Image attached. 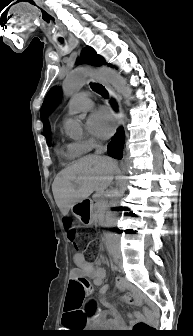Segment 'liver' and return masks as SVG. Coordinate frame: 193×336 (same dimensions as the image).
<instances>
[{
	"label": "liver",
	"mask_w": 193,
	"mask_h": 336,
	"mask_svg": "<svg viewBox=\"0 0 193 336\" xmlns=\"http://www.w3.org/2000/svg\"><path fill=\"white\" fill-rule=\"evenodd\" d=\"M116 162L109 157L87 155L62 170L54 179L52 192L63 216L77 202L86 200L94 191L104 193L111 182Z\"/></svg>",
	"instance_id": "1"
}]
</instances>
